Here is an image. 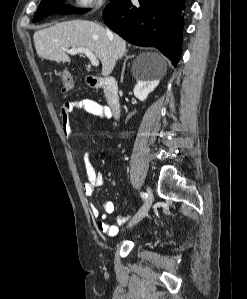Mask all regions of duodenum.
<instances>
[{"label":"duodenum","instance_id":"1","mask_svg":"<svg viewBox=\"0 0 247 299\" xmlns=\"http://www.w3.org/2000/svg\"><path fill=\"white\" fill-rule=\"evenodd\" d=\"M87 81L91 87L99 88L104 91L108 106L113 116L118 117L120 113V96L116 80L111 77L89 76Z\"/></svg>","mask_w":247,"mask_h":299}]
</instances>
